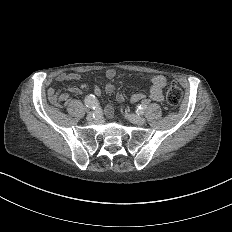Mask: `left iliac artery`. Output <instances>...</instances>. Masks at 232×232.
<instances>
[{
  "label": "left iliac artery",
  "mask_w": 232,
  "mask_h": 232,
  "mask_svg": "<svg viewBox=\"0 0 232 232\" xmlns=\"http://www.w3.org/2000/svg\"><path fill=\"white\" fill-rule=\"evenodd\" d=\"M144 110H145V107L142 106V105H139L137 106L136 108V113L139 115V116H142L144 114Z\"/></svg>",
  "instance_id": "obj_1"
}]
</instances>
